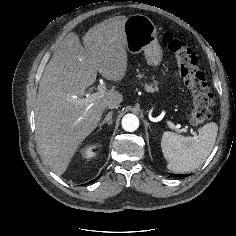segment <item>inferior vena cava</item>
Returning a JSON list of instances; mask_svg holds the SVG:
<instances>
[{
  "label": "inferior vena cava",
  "mask_w": 236,
  "mask_h": 236,
  "mask_svg": "<svg viewBox=\"0 0 236 236\" xmlns=\"http://www.w3.org/2000/svg\"><path fill=\"white\" fill-rule=\"evenodd\" d=\"M107 107L110 109L118 108V104L117 103H108Z\"/></svg>",
  "instance_id": "1"
}]
</instances>
